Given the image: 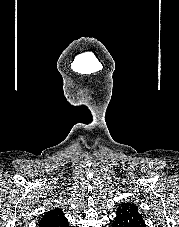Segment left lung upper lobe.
Wrapping results in <instances>:
<instances>
[{"label": "left lung upper lobe", "instance_id": "obj_1", "mask_svg": "<svg viewBox=\"0 0 179 227\" xmlns=\"http://www.w3.org/2000/svg\"><path fill=\"white\" fill-rule=\"evenodd\" d=\"M113 224L115 227H146L138 207L132 203L121 204Z\"/></svg>", "mask_w": 179, "mask_h": 227}]
</instances>
